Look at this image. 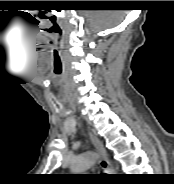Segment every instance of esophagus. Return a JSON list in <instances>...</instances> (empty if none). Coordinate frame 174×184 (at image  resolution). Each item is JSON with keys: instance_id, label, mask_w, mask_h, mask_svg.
I'll return each instance as SVG.
<instances>
[{"instance_id": "esophagus-1", "label": "esophagus", "mask_w": 174, "mask_h": 184, "mask_svg": "<svg viewBox=\"0 0 174 184\" xmlns=\"http://www.w3.org/2000/svg\"><path fill=\"white\" fill-rule=\"evenodd\" d=\"M90 138H91L93 144L95 145V147L100 155V159H99L100 167L107 173L113 172V169H112L110 162L107 158V153H106V150L104 149L102 142L91 133H90Z\"/></svg>"}]
</instances>
